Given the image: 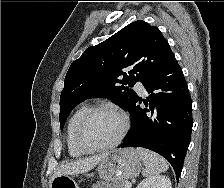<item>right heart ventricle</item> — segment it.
Listing matches in <instances>:
<instances>
[{
    "label": "right heart ventricle",
    "mask_w": 224,
    "mask_h": 188,
    "mask_svg": "<svg viewBox=\"0 0 224 188\" xmlns=\"http://www.w3.org/2000/svg\"><path fill=\"white\" fill-rule=\"evenodd\" d=\"M89 105L84 104L80 106L70 117L67 125L66 132V144L68 148V152L72 157H81L85 154V151L80 149L75 141V130L76 126L82 117V115L89 109Z\"/></svg>",
    "instance_id": "1"
}]
</instances>
